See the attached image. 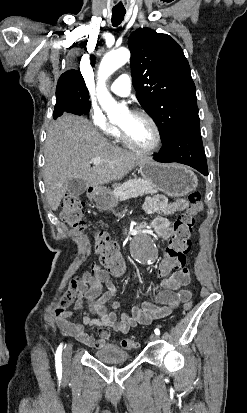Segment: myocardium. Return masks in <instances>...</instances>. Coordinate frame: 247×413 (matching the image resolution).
I'll list each match as a JSON object with an SVG mask.
<instances>
[{"instance_id": "myocardium-1", "label": "myocardium", "mask_w": 247, "mask_h": 413, "mask_svg": "<svg viewBox=\"0 0 247 413\" xmlns=\"http://www.w3.org/2000/svg\"><path fill=\"white\" fill-rule=\"evenodd\" d=\"M137 115L141 118L146 119L149 122V124L151 125V127L153 129H155V132H156L155 142L152 145H149V146L142 145V144L136 142L134 139H132L126 133V131L124 129L119 127V133H120V136H121L122 140L130 148H133V149H135L139 152H142V153H150V152L158 150L162 146L163 141H164V136H163L162 129L157 124V122L154 120V118L149 113H147L146 111H144V110L138 111Z\"/></svg>"}]
</instances>
